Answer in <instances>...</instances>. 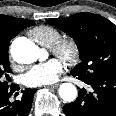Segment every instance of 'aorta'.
I'll return each mask as SVG.
<instances>
[{"mask_svg": "<svg viewBox=\"0 0 116 116\" xmlns=\"http://www.w3.org/2000/svg\"><path fill=\"white\" fill-rule=\"evenodd\" d=\"M13 59L21 64H31L44 56V51L26 37L16 38L11 44ZM59 95L65 102H73L77 97V89L71 83H63L59 87Z\"/></svg>", "mask_w": 116, "mask_h": 116, "instance_id": "aorta-1", "label": "aorta"}]
</instances>
